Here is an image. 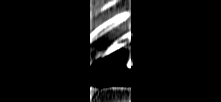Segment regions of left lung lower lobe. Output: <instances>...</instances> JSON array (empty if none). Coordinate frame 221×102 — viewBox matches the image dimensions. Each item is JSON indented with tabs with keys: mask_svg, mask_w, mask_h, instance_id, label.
Here are the masks:
<instances>
[{
	"mask_svg": "<svg viewBox=\"0 0 221 102\" xmlns=\"http://www.w3.org/2000/svg\"><path fill=\"white\" fill-rule=\"evenodd\" d=\"M133 55V64H132ZM140 62L135 63V50L128 46L119 48L115 53L98 59L81 77L80 83L97 86H133L137 87L142 79Z\"/></svg>",
	"mask_w": 221,
	"mask_h": 102,
	"instance_id": "1",
	"label": "left lung lower lobe"
}]
</instances>
